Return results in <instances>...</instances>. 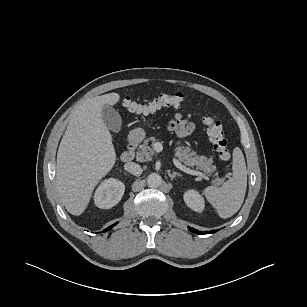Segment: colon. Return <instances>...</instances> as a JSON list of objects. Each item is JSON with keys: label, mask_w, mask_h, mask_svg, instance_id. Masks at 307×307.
Wrapping results in <instances>:
<instances>
[{"label": "colon", "mask_w": 307, "mask_h": 307, "mask_svg": "<svg viewBox=\"0 0 307 307\" xmlns=\"http://www.w3.org/2000/svg\"><path fill=\"white\" fill-rule=\"evenodd\" d=\"M182 102L183 95L179 93H163L157 98L146 102H138L129 97H126L122 100L123 106L128 111L139 115L154 114L161 109L169 107L178 108L181 106ZM203 121L207 125L208 138L214 150L221 160L228 161L231 158V151L221 122L214 115H205Z\"/></svg>", "instance_id": "obj_1"}]
</instances>
